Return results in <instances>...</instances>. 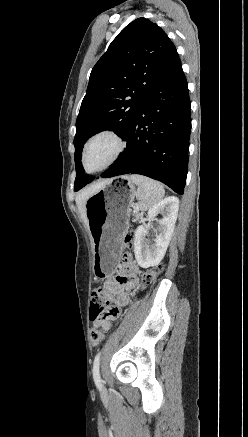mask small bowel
Instances as JSON below:
<instances>
[{
    "label": "small bowel",
    "mask_w": 248,
    "mask_h": 437,
    "mask_svg": "<svg viewBox=\"0 0 248 437\" xmlns=\"http://www.w3.org/2000/svg\"><path fill=\"white\" fill-rule=\"evenodd\" d=\"M138 272V266L131 259L130 255H126L117 278L105 282L106 295L114 303L115 307H113L111 314L104 320V329L108 330L110 328L111 320L119 314L120 308L125 307L129 303L131 292L139 282Z\"/></svg>",
    "instance_id": "obj_1"
}]
</instances>
